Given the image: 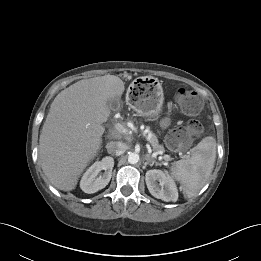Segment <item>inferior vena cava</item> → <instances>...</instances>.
<instances>
[{
    "mask_svg": "<svg viewBox=\"0 0 261 261\" xmlns=\"http://www.w3.org/2000/svg\"><path fill=\"white\" fill-rule=\"evenodd\" d=\"M107 151L110 154H115L117 156L123 154L126 151V145L121 142L110 141L106 145Z\"/></svg>",
    "mask_w": 261,
    "mask_h": 261,
    "instance_id": "1",
    "label": "inferior vena cava"
}]
</instances>
